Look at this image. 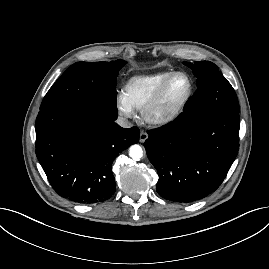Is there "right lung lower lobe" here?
I'll list each match as a JSON object with an SVG mask.
<instances>
[{"mask_svg":"<svg viewBox=\"0 0 269 269\" xmlns=\"http://www.w3.org/2000/svg\"><path fill=\"white\" fill-rule=\"evenodd\" d=\"M73 104L41 109L36 119V155L52 188L81 204L108 200L115 192L111 165L139 141L137 127Z\"/></svg>","mask_w":269,"mask_h":269,"instance_id":"right-lung-lower-lobe-1","label":"right lung lower lobe"}]
</instances>
